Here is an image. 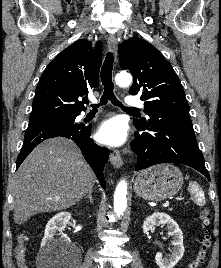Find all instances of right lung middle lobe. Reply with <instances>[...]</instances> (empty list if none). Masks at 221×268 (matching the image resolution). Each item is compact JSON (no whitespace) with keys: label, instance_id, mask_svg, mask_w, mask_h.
I'll return each instance as SVG.
<instances>
[{"label":"right lung middle lobe","instance_id":"right-lung-middle-lobe-1","mask_svg":"<svg viewBox=\"0 0 221 268\" xmlns=\"http://www.w3.org/2000/svg\"><path fill=\"white\" fill-rule=\"evenodd\" d=\"M76 117H77L76 115L62 116V117L51 119V121L74 122Z\"/></svg>","mask_w":221,"mask_h":268}]
</instances>
